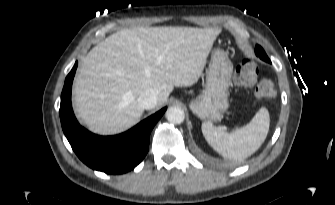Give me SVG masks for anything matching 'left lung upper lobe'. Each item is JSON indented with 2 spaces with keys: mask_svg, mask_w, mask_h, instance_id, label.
Wrapping results in <instances>:
<instances>
[{
  "mask_svg": "<svg viewBox=\"0 0 335 205\" xmlns=\"http://www.w3.org/2000/svg\"><path fill=\"white\" fill-rule=\"evenodd\" d=\"M255 54L266 62H271L268 56L266 55L264 49L260 45H256Z\"/></svg>",
  "mask_w": 335,
  "mask_h": 205,
  "instance_id": "1",
  "label": "left lung upper lobe"
}]
</instances>
